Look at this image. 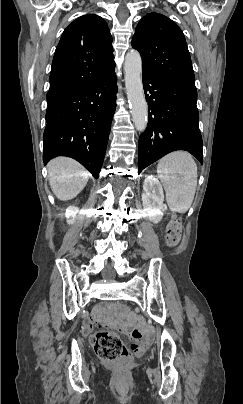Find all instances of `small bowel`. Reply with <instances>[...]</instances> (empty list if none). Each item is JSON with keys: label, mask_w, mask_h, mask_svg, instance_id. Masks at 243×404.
<instances>
[{"label": "small bowel", "mask_w": 243, "mask_h": 404, "mask_svg": "<svg viewBox=\"0 0 243 404\" xmlns=\"http://www.w3.org/2000/svg\"><path fill=\"white\" fill-rule=\"evenodd\" d=\"M94 322H95V318L90 319L85 323V326H84L85 333H90L92 331Z\"/></svg>", "instance_id": "small-bowel-1"}]
</instances>
